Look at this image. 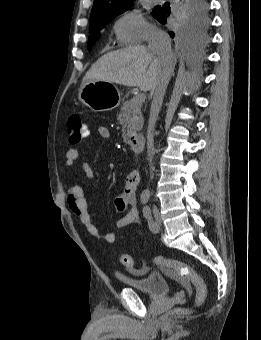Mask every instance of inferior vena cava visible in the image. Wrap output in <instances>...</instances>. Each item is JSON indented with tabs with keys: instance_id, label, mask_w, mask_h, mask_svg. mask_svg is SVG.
Returning a JSON list of instances; mask_svg holds the SVG:
<instances>
[{
	"instance_id": "inferior-vena-cava-1",
	"label": "inferior vena cava",
	"mask_w": 261,
	"mask_h": 340,
	"mask_svg": "<svg viewBox=\"0 0 261 340\" xmlns=\"http://www.w3.org/2000/svg\"><path fill=\"white\" fill-rule=\"evenodd\" d=\"M148 48L160 58H168L172 55L171 40L167 33L154 28L150 31L148 37ZM171 69H167L160 76L155 88L152 90V103L150 117L147 129V153L150 165V174H152V159L154 155V130L159 111L161 109L165 91L170 79Z\"/></svg>"
}]
</instances>
